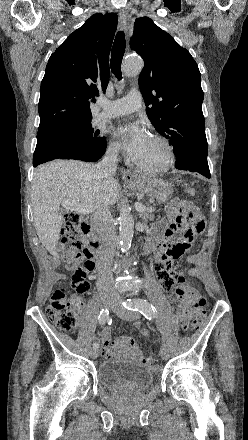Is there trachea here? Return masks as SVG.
I'll return each mask as SVG.
<instances>
[{"label": "trachea", "mask_w": 248, "mask_h": 440, "mask_svg": "<svg viewBox=\"0 0 248 440\" xmlns=\"http://www.w3.org/2000/svg\"><path fill=\"white\" fill-rule=\"evenodd\" d=\"M125 47V34L119 31L113 43L110 59L111 71L118 80L122 79L121 62L125 53Z\"/></svg>", "instance_id": "3493384b"}]
</instances>
